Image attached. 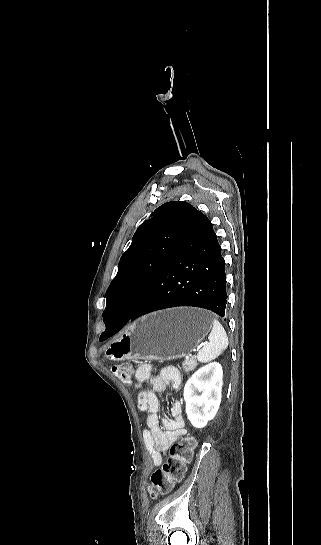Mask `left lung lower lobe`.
Wrapping results in <instances>:
<instances>
[{
  "label": "left lung lower lobe",
  "mask_w": 321,
  "mask_h": 545,
  "mask_svg": "<svg viewBox=\"0 0 321 545\" xmlns=\"http://www.w3.org/2000/svg\"><path fill=\"white\" fill-rule=\"evenodd\" d=\"M210 220L195 209L164 268L140 304L130 313L114 310L105 321L111 336L144 314L177 306H194L225 316L224 258Z\"/></svg>",
  "instance_id": "left-lung-lower-lobe-1"
}]
</instances>
